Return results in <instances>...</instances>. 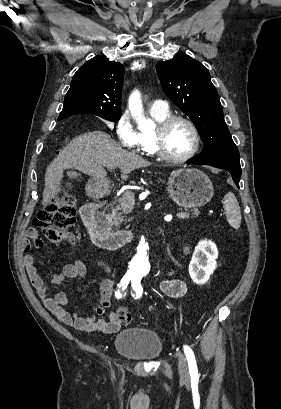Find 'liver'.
<instances>
[{"mask_svg":"<svg viewBox=\"0 0 281 409\" xmlns=\"http://www.w3.org/2000/svg\"><path fill=\"white\" fill-rule=\"evenodd\" d=\"M104 164L109 168L118 166L122 180H127L129 172L141 166H150L151 162L134 152L119 148L117 142L112 140L107 132L102 130L84 132L72 138L69 144L63 146L60 154L48 164L42 196L43 205L51 202V198L59 192L58 186L61 184L65 168H77L97 180H106L107 170Z\"/></svg>","mask_w":281,"mask_h":409,"instance_id":"liver-1","label":"liver"}]
</instances>
